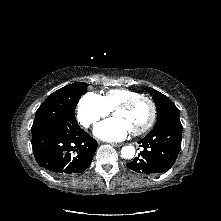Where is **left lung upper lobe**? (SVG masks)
I'll return each instance as SVG.
<instances>
[{
  "mask_svg": "<svg viewBox=\"0 0 221 221\" xmlns=\"http://www.w3.org/2000/svg\"><path fill=\"white\" fill-rule=\"evenodd\" d=\"M147 89L149 92H154L153 99L158 111L157 123L155 124V127L168 122L181 123L179 119L180 111L174 105V103L159 91H156L150 87Z\"/></svg>",
  "mask_w": 221,
  "mask_h": 221,
  "instance_id": "obj_1",
  "label": "left lung upper lobe"
}]
</instances>
